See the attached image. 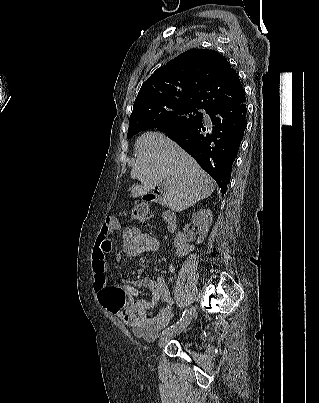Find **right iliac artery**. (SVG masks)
<instances>
[{
	"label": "right iliac artery",
	"mask_w": 319,
	"mask_h": 403,
	"mask_svg": "<svg viewBox=\"0 0 319 403\" xmlns=\"http://www.w3.org/2000/svg\"><path fill=\"white\" fill-rule=\"evenodd\" d=\"M187 313H188V311L185 310V311L183 312L182 317L180 318V320L177 321L176 324H174V325L168 327L165 331L162 332V334H163L164 332H166V331L172 330L175 326H177L182 320H184V318L186 317Z\"/></svg>",
	"instance_id": "82829eb1"
}]
</instances>
